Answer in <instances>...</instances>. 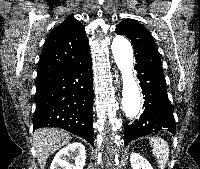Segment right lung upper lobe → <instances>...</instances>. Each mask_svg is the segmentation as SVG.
Instances as JSON below:
<instances>
[{"label": "right lung upper lobe", "mask_w": 200, "mask_h": 169, "mask_svg": "<svg viewBox=\"0 0 200 169\" xmlns=\"http://www.w3.org/2000/svg\"><path fill=\"white\" fill-rule=\"evenodd\" d=\"M90 52L84 26L73 16L50 32L41 52L37 76L74 65Z\"/></svg>", "instance_id": "right-lung-upper-lobe-1"}]
</instances>
